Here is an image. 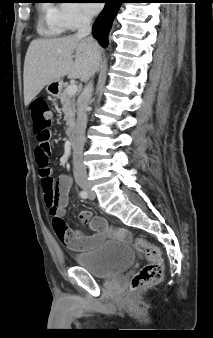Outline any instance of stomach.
<instances>
[{
    "mask_svg": "<svg viewBox=\"0 0 213 338\" xmlns=\"http://www.w3.org/2000/svg\"><path fill=\"white\" fill-rule=\"evenodd\" d=\"M61 86H62V82L60 80L55 81V82L48 84L46 87V90L50 95L56 96L60 92Z\"/></svg>",
    "mask_w": 213,
    "mask_h": 338,
    "instance_id": "obj_1",
    "label": "stomach"
}]
</instances>
